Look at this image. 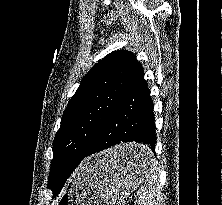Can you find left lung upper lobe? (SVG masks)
Here are the masks:
<instances>
[{
    "instance_id": "obj_1",
    "label": "left lung upper lobe",
    "mask_w": 222,
    "mask_h": 205,
    "mask_svg": "<svg viewBox=\"0 0 222 205\" xmlns=\"http://www.w3.org/2000/svg\"><path fill=\"white\" fill-rule=\"evenodd\" d=\"M140 63L129 51L118 50L95 64L69 101L53 142L48 187L65 177L59 162L66 154L81 156L91 146L108 113L129 85Z\"/></svg>"
}]
</instances>
